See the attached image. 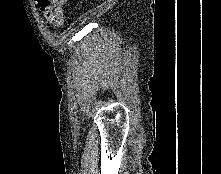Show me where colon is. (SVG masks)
Instances as JSON below:
<instances>
[{
  "mask_svg": "<svg viewBox=\"0 0 221 174\" xmlns=\"http://www.w3.org/2000/svg\"><path fill=\"white\" fill-rule=\"evenodd\" d=\"M68 0H36L39 8L44 12L46 19L55 26L63 23V6Z\"/></svg>",
  "mask_w": 221,
  "mask_h": 174,
  "instance_id": "5ec220e1",
  "label": "colon"
}]
</instances>
